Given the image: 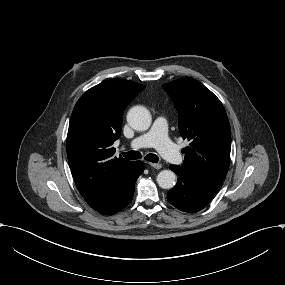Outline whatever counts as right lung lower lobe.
Listing matches in <instances>:
<instances>
[{
	"label": "right lung lower lobe",
	"mask_w": 285,
	"mask_h": 285,
	"mask_svg": "<svg viewBox=\"0 0 285 285\" xmlns=\"http://www.w3.org/2000/svg\"><path fill=\"white\" fill-rule=\"evenodd\" d=\"M143 171V162L134 161L118 180L111 196L103 204L93 209L101 214L111 215L125 208L132 200L135 182Z\"/></svg>",
	"instance_id": "1"
}]
</instances>
